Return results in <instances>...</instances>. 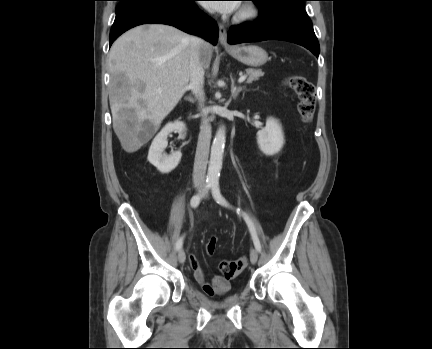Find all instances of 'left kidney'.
<instances>
[{
    "instance_id": "left-kidney-1",
    "label": "left kidney",
    "mask_w": 432,
    "mask_h": 349,
    "mask_svg": "<svg viewBox=\"0 0 432 349\" xmlns=\"http://www.w3.org/2000/svg\"><path fill=\"white\" fill-rule=\"evenodd\" d=\"M284 142V134L278 120L267 118L266 126L257 132L259 149L265 155L273 156L282 149Z\"/></svg>"
}]
</instances>
